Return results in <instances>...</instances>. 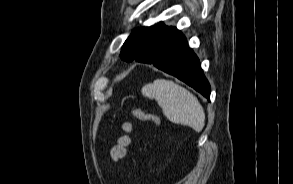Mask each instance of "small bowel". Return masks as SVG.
I'll use <instances>...</instances> for the list:
<instances>
[{"label":"small bowel","instance_id":"c3829d8e","mask_svg":"<svg viewBox=\"0 0 293 184\" xmlns=\"http://www.w3.org/2000/svg\"><path fill=\"white\" fill-rule=\"evenodd\" d=\"M123 130L126 134L119 138L117 144L111 150V158L114 161H118L125 157L127 153V147L131 142L129 134L132 131V125L130 123H124Z\"/></svg>","mask_w":293,"mask_h":184}]
</instances>
